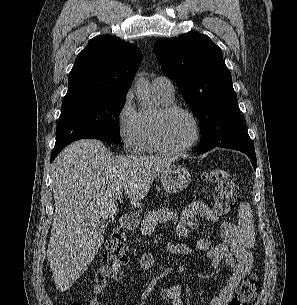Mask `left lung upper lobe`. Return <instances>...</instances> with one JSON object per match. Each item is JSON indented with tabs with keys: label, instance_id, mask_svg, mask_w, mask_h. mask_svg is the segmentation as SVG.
I'll return each mask as SVG.
<instances>
[{
	"label": "left lung upper lobe",
	"instance_id": "left-lung-upper-lobe-1",
	"mask_svg": "<svg viewBox=\"0 0 297 305\" xmlns=\"http://www.w3.org/2000/svg\"><path fill=\"white\" fill-rule=\"evenodd\" d=\"M153 51L163 73L176 82L200 120L198 150L245 131L231 73L220 47L209 37L188 32L158 40Z\"/></svg>",
	"mask_w": 297,
	"mask_h": 305
}]
</instances>
